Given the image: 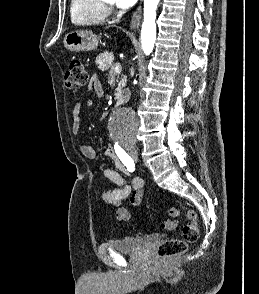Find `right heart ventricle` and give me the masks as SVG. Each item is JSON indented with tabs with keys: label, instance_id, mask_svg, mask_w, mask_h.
<instances>
[{
	"label": "right heart ventricle",
	"instance_id": "1",
	"mask_svg": "<svg viewBox=\"0 0 259 294\" xmlns=\"http://www.w3.org/2000/svg\"><path fill=\"white\" fill-rule=\"evenodd\" d=\"M70 15L76 25H96L103 23L108 13L101 0H72Z\"/></svg>",
	"mask_w": 259,
	"mask_h": 294
}]
</instances>
